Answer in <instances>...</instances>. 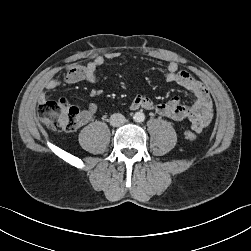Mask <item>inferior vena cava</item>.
Wrapping results in <instances>:
<instances>
[{
  "label": "inferior vena cava",
  "mask_w": 251,
  "mask_h": 251,
  "mask_svg": "<svg viewBox=\"0 0 251 251\" xmlns=\"http://www.w3.org/2000/svg\"><path fill=\"white\" fill-rule=\"evenodd\" d=\"M125 122L126 118L120 113L112 114L110 117V124L114 127L122 126Z\"/></svg>",
  "instance_id": "obj_1"
}]
</instances>
